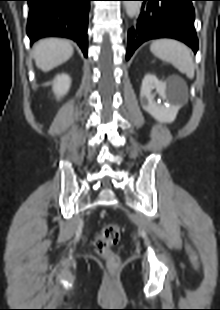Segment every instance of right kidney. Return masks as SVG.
Here are the masks:
<instances>
[{
    "label": "right kidney",
    "instance_id": "1",
    "mask_svg": "<svg viewBox=\"0 0 220 310\" xmlns=\"http://www.w3.org/2000/svg\"><path fill=\"white\" fill-rule=\"evenodd\" d=\"M71 85V78L67 74H59L53 81V91L58 99L66 95Z\"/></svg>",
    "mask_w": 220,
    "mask_h": 310
}]
</instances>
